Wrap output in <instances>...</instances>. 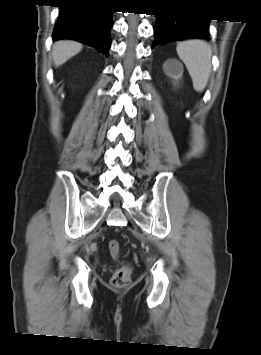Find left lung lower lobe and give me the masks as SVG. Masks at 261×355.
I'll return each instance as SVG.
<instances>
[{
	"instance_id": "obj_1",
	"label": "left lung lower lobe",
	"mask_w": 261,
	"mask_h": 355,
	"mask_svg": "<svg viewBox=\"0 0 261 355\" xmlns=\"http://www.w3.org/2000/svg\"><path fill=\"white\" fill-rule=\"evenodd\" d=\"M155 41L153 46L161 42L181 39L209 40V19L188 18L170 15H156Z\"/></svg>"
}]
</instances>
